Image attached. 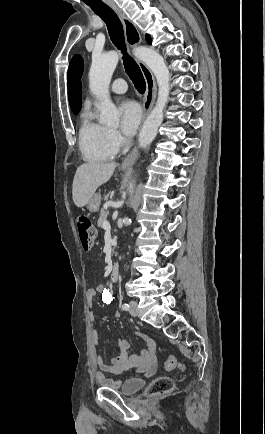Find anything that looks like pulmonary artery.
Instances as JSON below:
<instances>
[{
	"mask_svg": "<svg viewBox=\"0 0 265 434\" xmlns=\"http://www.w3.org/2000/svg\"><path fill=\"white\" fill-rule=\"evenodd\" d=\"M123 79L118 78L112 85V90L115 93L122 94L126 90L129 89V82L128 81H122Z\"/></svg>",
	"mask_w": 265,
	"mask_h": 434,
	"instance_id": "1",
	"label": "pulmonary artery"
}]
</instances>
